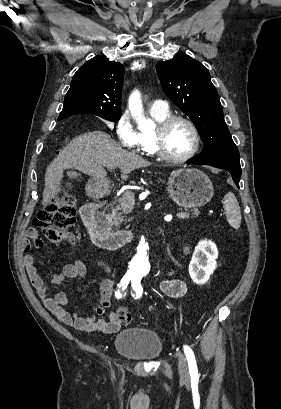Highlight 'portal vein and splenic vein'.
I'll return each mask as SVG.
<instances>
[{"instance_id": "portal-vein-and-splenic-vein-1", "label": "portal vein and splenic vein", "mask_w": 281, "mask_h": 409, "mask_svg": "<svg viewBox=\"0 0 281 409\" xmlns=\"http://www.w3.org/2000/svg\"><path fill=\"white\" fill-rule=\"evenodd\" d=\"M105 166H106V164H105ZM135 201V198L133 197V196H127L126 198H125V206L126 207H128V208H130V207H132L133 206V202ZM191 216V213L190 212H182V213H178V215H177V217H178V219H186V217H190Z\"/></svg>"}]
</instances>
